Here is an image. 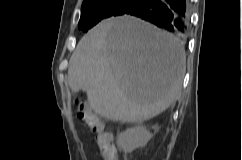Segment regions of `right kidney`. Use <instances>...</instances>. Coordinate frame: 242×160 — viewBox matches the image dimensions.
<instances>
[{
	"mask_svg": "<svg viewBox=\"0 0 242 160\" xmlns=\"http://www.w3.org/2000/svg\"><path fill=\"white\" fill-rule=\"evenodd\" d=\"M152 138V134L146 127L138 126L120 133L117 144L126 152H132L136 148L144 147Z\"/></svg>",
	"mask_w": 242,
	"mask_h": 160,
	"instance_id": "1",
	"label": "right kidney"
}]
</instances>
